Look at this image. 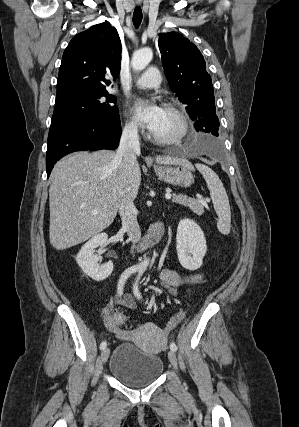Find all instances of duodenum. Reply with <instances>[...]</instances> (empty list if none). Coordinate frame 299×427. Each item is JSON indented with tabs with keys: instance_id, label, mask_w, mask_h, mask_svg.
<instances>
[{
	"instance_id": "410a0bca",
	"label": "duodenum",
	"mask_w": 299,
	"mask_h": 427,
	"mask_svg": "<svg viewBox=\"0 0 299 427\" xmlns=\"http://www.w3.org/2000/svg\"><path fill=\"white\" fill-rule=\"evenodd\" d=\"M165 232V225L163 222H156L151 225L147 235L139 243L140 250H147L158 244Z\"/></svg>"
}]
</instances>
